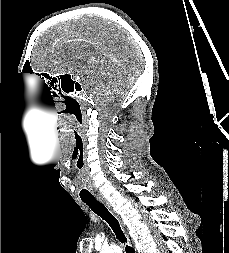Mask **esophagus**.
Instances as JSON below:
<instances>
[{"label": "esophagus", "instance_id": "esophagus-1", "mask_svg": "<svg viewBox=\"0 0 229 253\" xmlns=\"http://www.w3.org/2000/svg\"><path fill=\"white\" fill-rule=\"evenodd\" d=\"M97 199H98L101 203H103L113 215H115V217L119 220V222H120L122 228H124V224H123V222H122L121 217L113 210V208H112V206L109 204V202L106 201L105 199H103V198L100 197V196L97 197ZM124 229H125V228H124ZM126 234H127V236H128V232H127V231H126ZM128 238H129V237H128ZM129 240H130V239H129Z\"/></svg>", "mask_w": 229, "mask_h": 253}]
</instances>
